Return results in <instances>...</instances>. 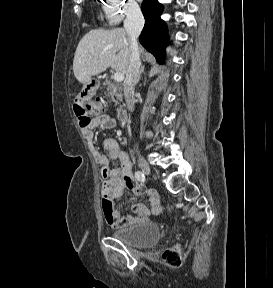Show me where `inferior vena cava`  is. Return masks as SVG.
<instances>
[{"label": "inferior vena cava", "instance_id": "inferior-vena-cava-1", "mask_svg": "<svg viewBox=\"0 0 273 288\" xmlns=\"http://www.w3.org/2000/svg\"><path fill=\"white\" fill-rule=\"evenodd\" d=\"M144 26V17L138 5H131L127 9L126 19L124 20V29L130 40V59L126 77L123 83L124 95L127 108L134 110L135 98L134 89L140 70V56L137 38Z\"/></svg>", "mask_w": 273, "mask_h": 288}]
</instances>
